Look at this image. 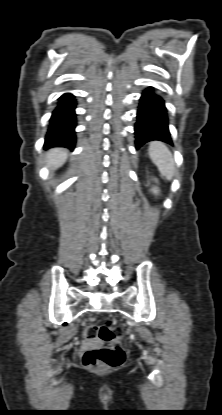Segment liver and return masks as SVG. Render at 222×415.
Instances as JSON below:
<instances>
[{
    "instance_id": "6515ba94",
    "label": "liver",
    "mask_w": 222,
    "mask_h": 415,
    "mask_svg": "<svg viewBox=\"0 0 222 415\" xmlns=\"http://www.w3.org/2000/svg\"><path fill=\"white\" fill-rule=\"evenodd\" d=\"M67 158V151L62 148L51 149L47 153V165L52 169L60 167Z\"/></svg>"
}]
</instances>
